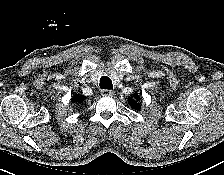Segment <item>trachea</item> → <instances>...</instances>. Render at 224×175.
<instances>
[{
  "label": "trachea",
  "mask_w": 224,
  "mask_h": 175,
  "mask_svg": "<svg viewBox=\"0 0 224 175\" xmlns=\"http://www.w3.org/2000/svg\"><path fill=\"white\" fill-rule=\"evenodd\" d=\"M100 87L102 89H112V81L109 77L104 76L100 79Z\"/></svg>",
  "instance_id": "trachea-1"
}]
</instances>
